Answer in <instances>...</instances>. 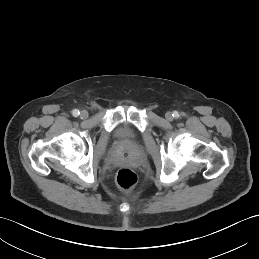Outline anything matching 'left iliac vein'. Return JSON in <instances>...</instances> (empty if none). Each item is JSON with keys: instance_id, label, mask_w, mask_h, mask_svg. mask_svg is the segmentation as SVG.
Returning a JSON list of instances; mask_svg holds the SVG:
<instances>
[{"instance_id": "left-iliac-vein-1", "label": "left iliac vein", "mask_w": 259, "mask_h": 259, "mask_svg": "<svg viewBox=\"0 0 259 259\" xmlns=\"http://www.w3.org/2000/svg\"><path fill=\"white\" fill-rule=\"evenodd\" d=\"M165 118L168 120V121H172L174 119L173 117V113L172 112H167L165 114Z\"/></svg>"}]
</instances>
